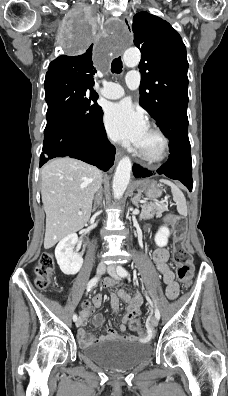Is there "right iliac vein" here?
Listing matches in <instances>:
<instances>
[{
	"label": "right iliac vein",
	"instance_id": "63e3f726",
	"mask_svg": "<svg viewBox=\"0 0 228 396\" xmlns=\"http://www.w3.org/2000/svg\"><path fill=\"white\" fill-rule=\"evenodd\" d=\"M106 270V264L101 262L98 267H97V275H102ZM76 327H79L81 325V318H78L76 320Z\"/></svg>",
	"mask_w": 228,
	"mask_h": 396
}]
</instances>
